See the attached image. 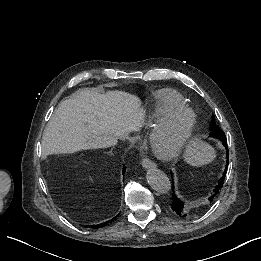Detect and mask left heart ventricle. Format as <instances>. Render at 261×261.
I'll list each match as a JSON object with an SVG mask.
<instances>
[{
  "mask_svg": "<svg viewBox=\"0 0 261 261\" xmlns=\"http://www.w3.org/2000/svg\"><path fill=\"white\" fill-rule=\"evenodd\" d=\"M186 126V116L175 114L158 123L148 138L149 147L157 152H169L179 146Z\"/></svg>",
  "mask_w": 261,
  "mask_h": 261,
  "instance_id": "b2bd125f",
  "label": "left heart ventricle"
}]
</instances>
